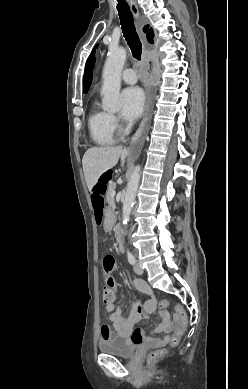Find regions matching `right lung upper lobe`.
<instances>
[{
    "mask_svg": "<svg viewBox=\"0 0 248 389\" xmlns=\"http://www.w3.org/2000/svg\"><path fill=\"white\" fill-rule=\"evenodd\" d=\"M144 32L146 33V37L149 43L153 44V37H154V32L152 28H149V25H146L144 27Z\"/></svg>",
    "mask_w": 248,
    "mask_h": 389,
    "instance_id": "cb5924a9",
    "label": "right lung upper lobe"
}]
</instances>
